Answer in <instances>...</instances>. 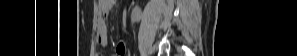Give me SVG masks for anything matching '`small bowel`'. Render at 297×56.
Instances as JSON below:
<instances>
[{"label": "small bowel", "mask_w": 297, "mask_h": 56, "mask_svg": "<svg viewBox=\"0 0 297 56\" xmlns=\"http://www.w3.org/2000/svg\"><path fill=\"white\" fill-rule=\"evenodd\" d=\"M99 11H100V20H99V26H98V42L102 46H106L108 44V28L106 23V18L109 15V13L114 9L115 7V1L114 0H100L99 1ZM126 52V45L121 42L116 47V55L117 56H123Z\"/></svg>", "instance_id": "small-bowel-1"}]
</instances>
